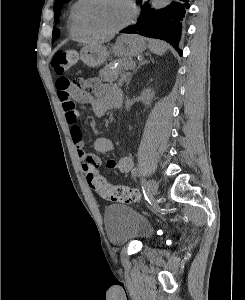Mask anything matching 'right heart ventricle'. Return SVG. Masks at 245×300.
Listing matches in <instances>:
<instances>
[{
    "label": "right heart ventricle",
    "instance_id": "e07e8e85",
    "mask_svg": "<svg viewBox=\"0 0 245 300\" xmlns=\"http://www.w3.org/2000/svg\"><path fill=\"white\" fill-rule=\"evenodd\" d=\"M83 2L84 0H75L70 7L68 16L69 31L78 36H85L88 34L83 30L78 21V12Z\"/></svg>",
    "mask_w": 245,
    "mask_h": 300
}]
</instances>
